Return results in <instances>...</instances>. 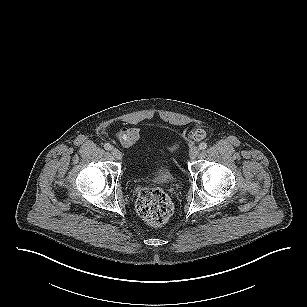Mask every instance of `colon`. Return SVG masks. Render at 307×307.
Instances as JSON below:
<instances>
[{"label":"colon","instance_id":"colon-1","mask_svg":"<svg viewBox=\"0 0 307 307\" xmlns=\"http://www.w3.org/2000/svg\"><path fill=\"white\" fill-rule=\"evenodd\" d=\"M197 140L204 138L205 132L197 129L191 133ZM172 151L178 148V143L168 146ZM136 208L139 215L147 222L160 225L165 223L172 214L173 206L168 195L158 188H143L138 192Z\"/></svg>","mask_w":307,"mask_h":307}]
</instances>
